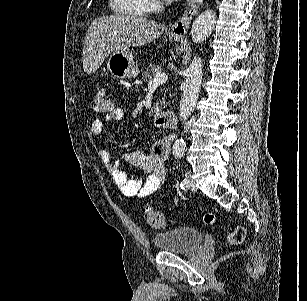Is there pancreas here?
I'll return each instance as SVG.
<instances>
[{"instance_id": "pancreas-1", "label": "pancreas", "mask_w": 307, "mask_h": 301, "mask_svg": "<svg viewBox=\"0 0 307 301\" xmlns=\"http://www.w3.org/2000/svg\"><path fill=\"white\" fill-rule=\"evenodd\" d=\"M162 70L163 68H161V66H156V64H150L149 68H147V70H144V72H142V80L148 82V80H152V78H154L157 72H162ZM165 106H167V102L165 100V96H163L162 102H160V100H157L155 104L156 112H158L160 108H165Z\"/></svg>"}]
</instances>
